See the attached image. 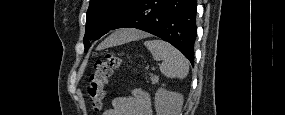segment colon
<instances>
[{"instance_id": "colon-1", "label": "colon", "mask_w": 285, "mask_h": 115, "mask_svg": "<svg viewBox=\"0 0 285 115\" xmlns=\"http://www.w3.org/2000/svg\"><path fill=\"white\" fill-rule=\"evenodd\" d=\"M121 65V59L113 54H107L104 60L95 63V69L89 77L87 96L95 111H100L105 100V86L114 69Z\"/></svg>"}]
</instances>
